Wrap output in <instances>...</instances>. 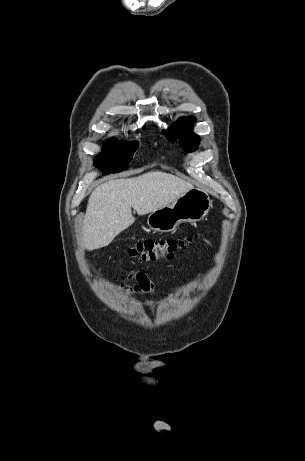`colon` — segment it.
<instances>
[{
	"label": "colon",
	"mask_w": 305,
	"mask_h": 461,
	"mask_svg": "<svg viewBox=\"0 0 305 461\" xmlns=\"http://www.w3.org/2000/svg\"><path fill=\"white\" fill-rule=\"evenodd\" d=\"M198 236V234H195L180 239L144 240L131 247L129 255L140 262L156 261L161 258H172L178 250Z\"/></svg>",
	"instance_id": "obj_1"
}]
</instances>
